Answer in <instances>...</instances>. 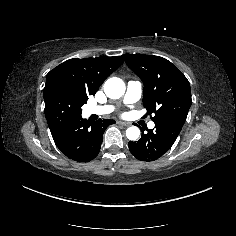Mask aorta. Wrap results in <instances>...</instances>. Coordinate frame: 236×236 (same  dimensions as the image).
<instances>
[{
	"instance_id": "obj_1",
	"label": "aorta",
	"mask_w": 236,
	"mask_h": 236,
	"mask_svg": "<svg viewBox=\"0 0 236 236\" xmlns=\"http://www.w3.org/2000/svg\"><path fill=\"white\" fill-rule=\"evenodd\" d=\"M104 91L110 99H119L125 93V84L121 79L113 77L106 81ZM126 136L129 140H137L140 136L139 128L137 126L127 128Z\"/></svg>"
}]
</instances>
